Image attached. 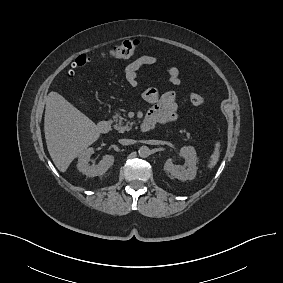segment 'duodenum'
Wrapping results in <instances>:
<instances>
[{"instance_id":"obj_1","label":"duodenum","mask_w":283,"mask_h":283,"mask_svg":"<svg viewBox=\"0 0 283 283\" xmlns=\"http://www.w3.org/2000/svg\"><path fill=\"white\" fill-rule=\"evenodd\" d=\"M152 127H153L152 123L147 119H145L141 124V130L143 132L149 131L150 129H152ZM110 128H111V123L108 119H102L97 124V130L102 134L109 132Z\"/></svg>"}]
</instances>
